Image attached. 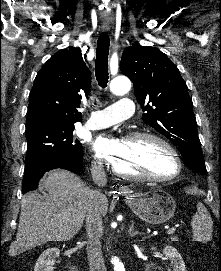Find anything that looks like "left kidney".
<instances>
[{
  "instance_id": "1",
  "label": "left kidney",
  "mask_w": 221,
  "mask_h": 271,
  "mask_svg": "<svg viewBox=\"0 0 221 271\" xmlns=\"http://www.w3.org/2000/svg\"><path fill=\"white\" fill-rule=\"evenodd\" d=\"M165 259H169L172 269L169 271H186L185 263L176 247L165 245L163 249Z\"/></svg>"
}]
</instances>
